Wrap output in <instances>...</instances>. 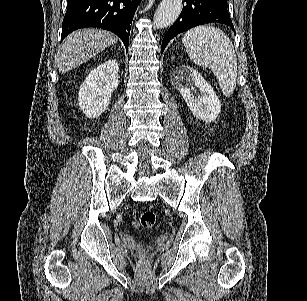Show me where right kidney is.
<instances>
[{
	"label": "right kidney",
	"mask_w": 307,
	"mask_h": 301,
	"mask_svg": "<svg viewBox=\"0 0 307 301\" xmlns=\"http://www.w3.org/2000/svg\"><path fill=\"white\" fill-rule=\"evenodd\" d=\"M119 86V68L116 58H110L90 70L80 84L78 104L88 118H98L106 110L112 92Z\"/></svg>",
	"instance_id": "obj_1"
}]
</instances>
